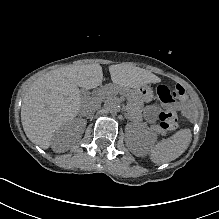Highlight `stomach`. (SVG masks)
<instances>
[{
  "mask_svg": "<svg viewBox=\"0 0 219 219\" xmlns=\"http://www.w3.org/2000/svg\"><path fill=\"white\" fill-rule=\"evenodd\" d=\"M137 93L138 97L141 98L142 100H148L149 97L151 96V89L147 86H141L135 90Z\"/></svg>",
  "mask_w": 219,
  "mask_h": 219,
  "instance_id": "0dacf381",
  "label": "stomach"
}]
</instances>
